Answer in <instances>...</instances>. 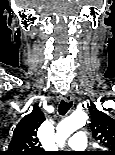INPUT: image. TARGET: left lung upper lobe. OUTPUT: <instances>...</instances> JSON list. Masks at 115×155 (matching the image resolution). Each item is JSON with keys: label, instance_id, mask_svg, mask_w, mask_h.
Here are the masks:
<instances>
[{"label": "left lung upper lobe", "instance_id": "left-lung-upper-lobe-1", "mask_svg": "<svg viewBox=\"0 0 115 155\" xmlns=\"http://www.w3.org/2000/svg\"><path fill=\"white\" fill-rule=\"evenodd\" d=\"M91 113V130L94 139L107 150L98 155H115V120L102 111L97 110L93 102L88 105Z\"/></svg>", "mask_w": 115, "mask_h": 155}]
</instances>
